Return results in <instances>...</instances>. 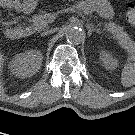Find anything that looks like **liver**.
Returning a JSON list of instances; mask_svg holds the SVG:
<instances>
[{"label": "liver", "instance_id": "1", "mask_svg": "<svg viewBox=\"0 0 135 135\" xmlns=\"http://www.w3.org/2000/svg\"><path fill=\"white\" fill-rule=\"evenodd\" d=\"M4 56L3 54L0 52V93H4L5 92V89H4V86H3V82H2V78H1V75H2V65L4 63Z\"/></svg>", "mask_w": 135, "mask_h": 135}]
</instances>
